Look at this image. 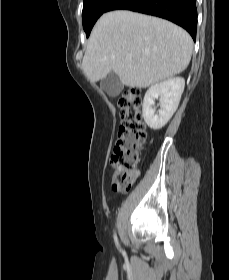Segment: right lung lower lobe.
<instances>
[{
  "mask_svg": "<svg viewBox=\"0 0 229 280\" xmlns=\"http://www.w3.org/2000/svg\"><path fill=\"white\" fill-rule=\"evenodd\" d=\"M117 9L131 10L167 19L187 30L194 41L196 39V0H114L107 11Z\"/></svg>",
  "mask_w": 229,
  "mask_h": 280,
  "instance_id": "98d812e1",
  "label": "right lung lower lobe"
}]
</instances>
